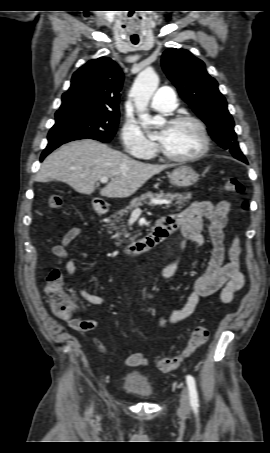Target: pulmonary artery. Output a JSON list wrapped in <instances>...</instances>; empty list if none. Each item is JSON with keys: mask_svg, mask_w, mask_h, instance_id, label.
Instances as JSON below:
<instances>
[{"mask_svg": "<svg viewBox=\"0 0 270 453\" xmlns=\"http://www.w3.org/2000/svg\"><path fill=\"white\" fill-rule=\"evenodd\" d=\"M176 95L172 88L161 87L150 101V106L160 112H171L176 108Z\"/></svg>", "mask_w": 270, "mask_h": 453, "instance_id": "obj_1", "label": "pulmonary artery"}]
</instances>
